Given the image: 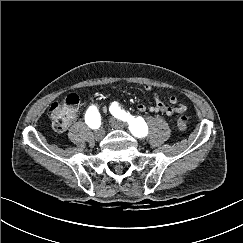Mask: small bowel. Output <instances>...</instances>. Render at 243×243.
<instances>
[{
    "label": "small bowel",
    "instance_id": "small-bowel-1",
    "mask_svg": "<svg viewBox=\"0 0 243 243\" xmlns=\"http://www.w3.org/2000/svg\"><path fill=\"white\" fill-rule=\"evenodd\" d=\"M145 90L151 92L153 89L151 86L146 85ZM155 104L152 106H146L145 104H139L137 106V109L140 112H151V113H162L166 114L167 116H173L176 113H185L187 110V107L178 102V98L175 95L169 96L168 100L170 105L167 106L165 105L158 94L154 93L153 94Z\"/></svg>",
    "mask_w": 243,
    "mask_h": 243
}]
</instances>
